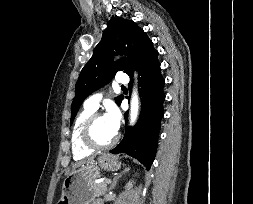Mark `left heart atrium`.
<instances>
[{"instance_id":"obj_1","label":"left heart atrium","mask_w":253,"mask_h":204,"mask_svg":"<svg viewBox=\"0 0 253 204\" xmlns=\"http://www.w3.org/2000/svg\"><path fill=\"white\" fill-rule=\"evenodd\" d=\"M104 117L112 130L117 132L121 123V113L118 108L115 105H109L106 109Z\"/></svg>"}]
</instances>
